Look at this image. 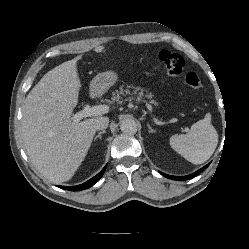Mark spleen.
<instances>
[{
    "label": "spleen",
    "instance_id": "obj_1",
    "mask_svg": "<svg viewBox=\"0 0 249 249\" xmlns=\"http://www.w3.org/2000/svg\"><path fill=\"white\" fill-rule=\"evenodd\" d=\"M218 144V133L211 124V114L191 126L188 134L173 135L171 147L193 164L206 162L214 153Z\"/></svg>",
    "mask_w": 249,
    "mask_h": 249
}]
</instances>
